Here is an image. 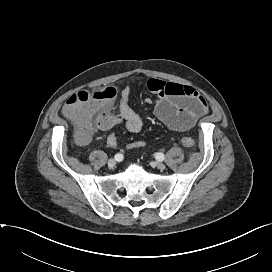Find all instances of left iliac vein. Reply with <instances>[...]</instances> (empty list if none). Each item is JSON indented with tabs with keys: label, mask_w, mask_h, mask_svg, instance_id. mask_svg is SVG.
Listing matches in <instances>:
<instances>
[{
	"label": "left iliac vein",
	"mask_w": 272,
	"mask_h": 272,
	"mask_svg": "<svg viewBox=\"0 0 272 272\" xmlns=\"http://www.w3.org/2000/svg\"><path fill=\"white\" fill-rule=\"evenodd\" d=\"M155 167L159 170H164L165 169V164L161 163V162H155L154 163Z\"/></svg>",
	"instance_id": "4c4485c4"
}]
</instances>
